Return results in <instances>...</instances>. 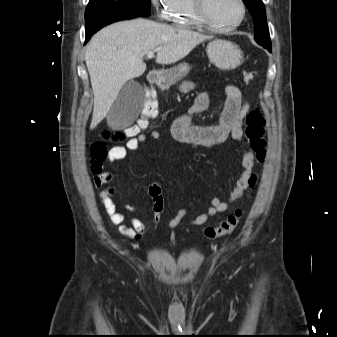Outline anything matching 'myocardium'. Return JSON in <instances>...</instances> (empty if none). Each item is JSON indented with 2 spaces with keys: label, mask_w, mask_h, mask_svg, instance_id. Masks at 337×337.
<instances>
[{
  "label": "myocardium",
  "mask_w": 337,
  "mask_h": 337,
  "mask_svg": "<svg viewBox=\"0 0 337 337\" xmlns=\"http://www.w3.org/2000/svg\"><path fill=\"white\" fill-rule=\"evenodd\" d=\"M193 1V7L194 12L196 14L197 19L201 24L208 27L209 29L216 31V32H230L236 28H238L245 20L247 15V6L244 0H238L240 7H241V16L233 24L230 25H219L213 22L210 17L208 16L207 10H206V0H192Z\"/></svg>",
  "instance_id": "myocardium-1"
}]
</instances>
